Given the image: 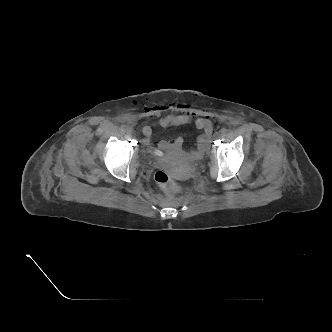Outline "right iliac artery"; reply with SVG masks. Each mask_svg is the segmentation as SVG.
<instances>
[{
	"mask_svg": "<svg viewBox=\"0 0 332 332\" xmlns=\"http://www.w3.org/2000/svg\"><path fill=\"white\" fill-rule=\"evenodd\" d=\"M121 130H122V131H128V127L125 126V125H122V126H121Z\"/></svg>",
	"mask_w": 332,
	"mask_h": 332,
	"instance_id": "right-iliac-artery-1",
	"label": "right iliac artery"
}]
</instances>
